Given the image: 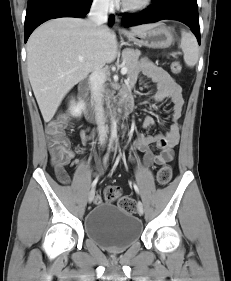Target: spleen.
I'll use <instances>...</instances> for the list:
<instances>
[{
  "label": "spleen",
  "instance_id": "spleen-1",
  "mask_svg": "<svg viewBox=\"0 0 231 281\" xmlns=\"http://www.w3.org/2000/svg\"><path fill=\"white\" fill-rule=\"evenodd\" d=\"M180 47L184 53V62L189 67H194L199 59L198 43L192 33L181 31Z\"/></svg>",
  "mask_w": 231,
  "mask_h": 281
}]
</instances>
